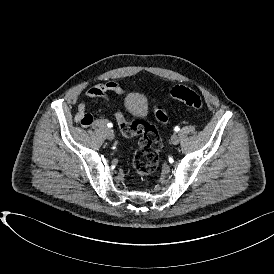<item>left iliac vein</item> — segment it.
Listing matches in <instances>:
<instances>
[{"instance_id": "obj_1", "label": "left iliac vein", "mask_w": 274, "mask_h": 274, "mask_svg": "<svg viewBox=\"0 0 274 274\" xmlns=\"http://www.w3.org/2000/svg\"><path fill=\"white\" fill-rule=\"evenodd\" d=\"M171 142L174 145H177L179 143V136L177 134H173L171 137Z\"/></svg>"}]
</instances>
